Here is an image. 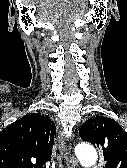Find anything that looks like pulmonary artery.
I'll use <instances>...</instances> for the list:
<instances>
[{
	"instance_id": "pulmonary-artery-1",
	"label": "pulmonary artery",
	"mask_w": 127,
	"mask_h": 168,
	"mask_svg": "<svg viewBox=\"0 0 127 168\" xmlns=\"http://www.w3.org/2000/svg\"><path fill=\"white\" fill-rule=\"evenodd\" d=\"M92 168H97V166H93Z\"/></svg>"
}]
</instances>
